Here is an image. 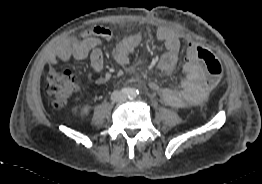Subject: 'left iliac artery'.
<instances>
[{"instance_id": "obj_1", "label": "left iliac artery", "mask_w": 262, "mask_h": 184, "mask_svg": "<svg viewBox=\"0 0 262 184\" xmlns=\"http://www.w3.org/2000/svg\"><path fill=\"white\" fill-rule=\"evenodd\" d=\"M138 94H139V90H138V89H134L133 93L129 96V98L133 99V98H135Z\"/></svg>"}]
</instances>
